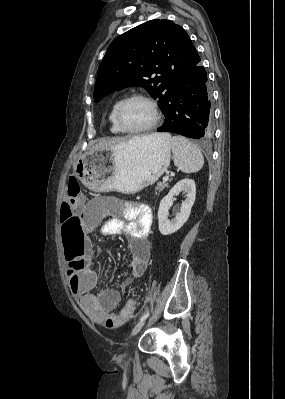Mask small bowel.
<instances>
[{"instance_id":"obj_1","label":"small bowel","mask_w":285,"mask_h":399,"mask_svg":"<svg viewBox=\"0 0 285 399\" xmlns=\"http://www.w3.org/2000/svg\"><path fill=\"white\" fill-rule=\"evenodd\" d=\"M109 200L108 197H102L96 203V210L104 218L98 235L101 239L115 235H123L126 238L131 254L130 272L121 283L122 288H126L134 279L142 277L148 266L150 260L148 235L152 217L144 203L136 202L127 205L117 203L115 205ZM84 209V205H78L75 208L76 216L80 217ZM90 230L89 225L83 224L76 231V238L83 243L87 260L86 266L76 276L70 278V289L80 308L87 312L95 322L115 330L121 327L126 319L112 312L118 306L121 295L118 290L113 289H103L98 295L91 293L99 284L100 277L91 268L93 248L91 242L86 239ZM127 304L131 306L132 312L135 300L129 299Z\"/></svg>"}]
</instances>
